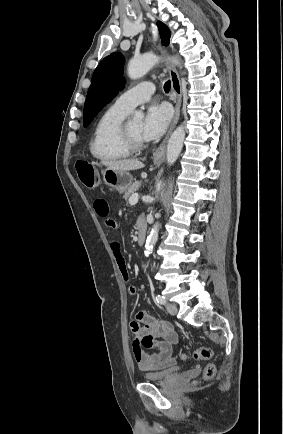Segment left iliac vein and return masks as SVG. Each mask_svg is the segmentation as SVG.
<instances>
[{
	"instance_id": "left-iliac-vein-1",
	"label": "left iliac vein",
	"mask_w": 283,
	"mask_h": 434,
	"mask_svg": "<svg viewBox=\"0 0 283 434\" xmlns=\"http://www.w3.org/2000/svg\"><path fill=\"white\" fill-rule=\"evenodd\" d=\"M166 310H167V312H168L169 314H171V315H176V314H177V311H178V308H177V306L174 305V304H166Z\"/></svg>"
}]
</instances>
